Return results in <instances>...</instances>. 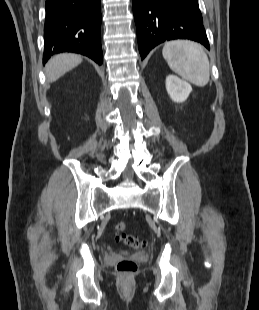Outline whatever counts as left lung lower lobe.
<instances>
[{
  "mask_svg": "<svg viewBox=\"0 0 259 310\" xmlns=\"http://www.w3.org/2000/svg\"><path fill=\"white\" fill-rule=\"evenodd\" d=\"M141 58L158 44L190 39L209 47L198 0H133Z\"/></svg>",
  "mask_w": 259,
  "mask_h": 310,
  "instance_id": "0a47b994",
  "label": "left lung lower lobe"
}]
</instances>
